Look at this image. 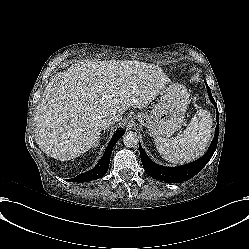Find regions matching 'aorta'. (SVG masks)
Returning a JSON list of instances; mask_svg holds the SVG:
<instances>
[{
    "mask_svg": "<svg viewBox=\"0 0 249 249\" xmlns=\"http://www.w3.org/2000/svg\"><path fill=\"white\" fill-rule=\"evenodd\" d=\"M123 144L128 148L136 147L139 142V137L132 131H127L122 137Z\"/></svg>",
    "mask_w": 249,
    "mask_h": 249,
    "instance_id": "aorta-1",
    "label": "aorta"
}]
</instances>
